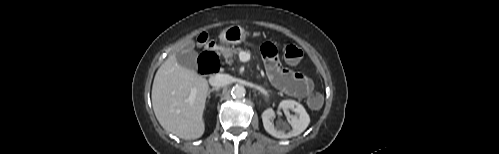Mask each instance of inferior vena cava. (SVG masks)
Segmentation results:
<instances>
[{"mask_svg": "<svg viewBox=\"0 0 499 154\" xmlns=\"http://www.w3.org/2000/svg\"><path fill=\"white\" fill-rule=\"evenodd\" d=\"M230 82V76L228 74H216L210 77L209 83L213 87L219 88L227 85Z\"/></svg>", "mask_w": 499, "mask_h": 154, "instance_id": "1", "label": "inferior vena cava"}]
</instances>
